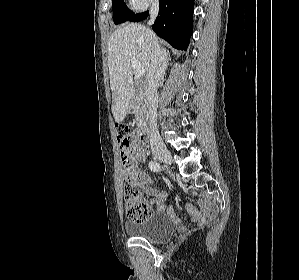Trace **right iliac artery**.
Masks as SVG:
<instances>
[{
    "label": "right iliac artery",
    "instance_id": "1",
    "mask_svg": "<svg viewBox=\"0 0 299 280\" xmlns=\"http://www.w3.org/2000/svg\"><path fill=\"white\" fill-rule=\"evenodd\" d=\"M149 168L154 171V172H159L161 171V166L159 163L155 162V161H150L149 162Z\"/></svg>",
    "mask_w": 299,
    "mask_h": 280
}]
</instances>
